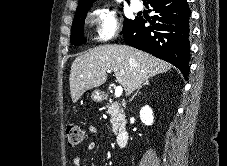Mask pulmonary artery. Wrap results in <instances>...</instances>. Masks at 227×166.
<instances>
[{
  "instance_id": "e3ab8cb5",
  "label": "pulmonary artery",
  "mask_w": 227,
  "mask_h": 166,
  "mask_svg": "<svg viewBox=\"0 0 227 166\" xmlns=\"http://www.w3.org/2000/svg\"><path fill=\"white\" fill-rule=\"evenodd\" d=\"M131 8H132L133 11L138 12V11L143 9V5L139 1H133L131 3Z\"/></svg>"
}]
</instances>
